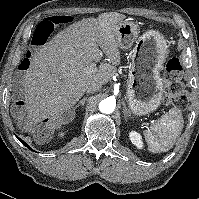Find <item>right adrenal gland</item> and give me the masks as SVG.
<instances>
[{"instance_id":"1","label":"right adrenal gland","mask_w":199,"mask_h":199,"mask_svg":"<svg viewBox=\"0 0 199 199\" xmlns=\"http://www.w3.org/2000/svg\"><path fill=\"white\" fill-rule=\"evenodd\" d=\"M86 100H87V97H83V99L80 100V102L73 108L74 115H75V109H77L79 106H84Z\"/></svg>"}]
</instances>
